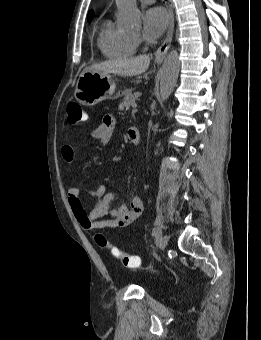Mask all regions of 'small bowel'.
I'll return each instance as SVG.
<instances>
[{"mask_svg":"<svg viewBox=\"0 0 261 340\" xmlns=\"http://www.w3.org/2000/svg\"><path fill=\"white\" fill-rule=\"evenodd\" d=\"M114 127L115 119L112 116H105L91 131V136L107 144L112 138ZM61 154L66 162L70 163L74 159V149L69 144L62 146ZM82 193L99 201L87 210L80 199ZM117 197L118 193L109 191L104 184H100L95 189H81L73 185L68 190V202L76 220L82 228L90 231L123 228L140 216L143 204L138 195L131 197L129 205L122 203L111 208L112 201ZM107 215H110V218L102 219Z\"/></svg>","mask_w":261,"mask_h":340,"instance_id":"small-bowel-1","label":"small bowel"}]
</instances>
